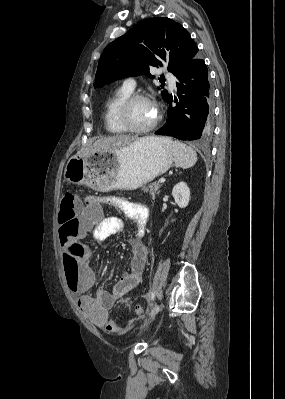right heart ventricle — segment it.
<instances>
[{
  "label": "right heart ventricle",
  "mask_w": 285,
  "mask_h": 399,
  "mask_svg": "<svg viewBox=\"0 0 285 399\" xmlns=\"http://www.w3.org/2000/svg\"><path fill=\"white\" fill-rule=\"evenodd\" d=\"M132 91L124 87L117 89L108 99L105 109V127L110 133L120 135L128 131L123 128L119 120V109L122 103L131 95Z\"/></svg>",
  "instance_id": "obj_1"
}]
</instances>
